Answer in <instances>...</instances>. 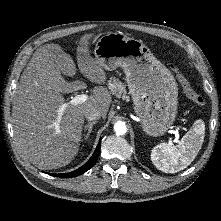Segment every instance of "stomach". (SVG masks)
<instances>
[{"label":"stomach","mask_w":221,"mask_h":221,"mask_svg":"<svg viewBox=\"0 0 221 221\" xmlns=\"http://www.w3.org/2000/svg\"><path fill=\"white\" fill-rule=\"evenodd\" d=\"M94 55L107 71L123 69L144 131L163 135L175 121L178 105V87L169 69L140 40L121 32L103 35L95 44Z\"/></svg>","instance_id":"0dacf381"}]
</instances>
